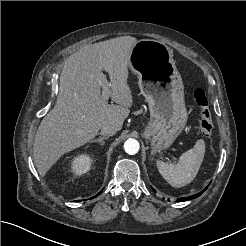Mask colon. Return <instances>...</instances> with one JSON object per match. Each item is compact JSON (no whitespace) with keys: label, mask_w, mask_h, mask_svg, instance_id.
<instances>
[{"label":"colon","mask_w":246,"mask_h":246,"mask_svg":"<svg viewBox=\"0 0 246 246\" xmlns=\"http://www.w3.org/2000/svg\"><path fill=\"white\" fill-rule=\"evenodd\" d=\"M192 99L199 108L197 124L201 134L205 137H210L213 131V119L208 108V100L206 94L201 88L192 90Z\"/></svg>","instance_id":"colon-1"}]
</instances>
